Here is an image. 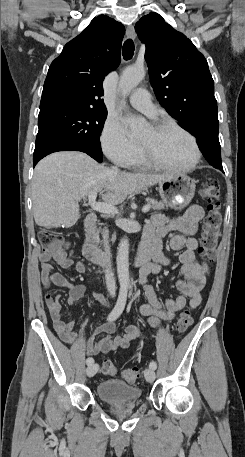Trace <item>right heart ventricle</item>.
Segmentation results:
<instances>
[{
  "label": "right heart ventricle",
  "instance_id": "e07e8e85",
  "mask_svg": "<svg viewBox=\"0 0 245 457\" xmlns=\"http://www.w3.org/2000/svg\"><path fill=\"white\" fill-rule=\"evenodd\" d=\"M129 167H141L144 165L143 161L140 159L138 154L136 153L127 163Z\"/></svg>",
  "mask_w": 245,
  "mask_h": 457
}]
</instances>
